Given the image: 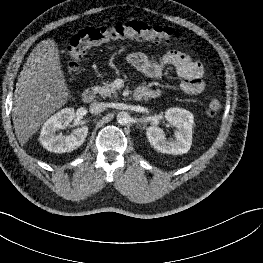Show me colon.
Instances as JSON below:
<instances>
[{
    "instance_id": "obj_1",
    "label": "colon",
    "mask_w": 263,
    "mask_h": 263,
    "mask_svg": "<svg viewBox=\"0 0 263 263\" xmlns=\"http://www.w3.org/2000/svg\"><path fill=\"white\" fill-rule=\"evenodd\" d=\"M180 37L179 32L167 27H152L142 22L118 23L111 27H98L81 30L71 37L67 47L69 68L77 70L84 55L112 40L138 39L170 43ZM222 107L220 96L213 95L207 101V114L215 116Z\"/></svg>"
}]
</instances>
